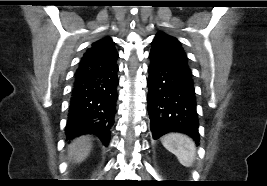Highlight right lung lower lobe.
Listing matches in <instances>:
<instances>
[{
    "label": "right lung lower lobe",
    "instance_id": "98d812e1",
    "mask_svg": "<svg viewBox=\"0 0 267 186\" xmlns=\"http://www.w3.org/2000/svg\"><path fill=\"white\" fill-rule=\"evenodd\" d=\"M117 72L115 61L75 74L65 131L67 139L94 134L108 145L116 113Z\"/></svg>",
    "mask_w": 267,
    "mask_h": 186
}]
</instances>
